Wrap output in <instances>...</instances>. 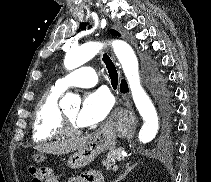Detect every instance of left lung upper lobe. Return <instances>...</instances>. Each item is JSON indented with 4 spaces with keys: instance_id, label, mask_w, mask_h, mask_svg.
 I'll list each match as a JSON object with an SVG mask.
<instances>
[{
    "instance_id": "1",
    "label": "left lung upper lobe",
    "mask_w": 211,
    "mask_h": 182,
    "mask_svg": "<svg viewBox=\"0 0 211 182\" xmlns=\"http://www.w3.org/2000/svg\"><path fill=\"white\" fill-rule=\"evenodd\" d=\"M110 33L114 36H120V34L115 30H110Z\"/></svg>"
}]
</instances>
